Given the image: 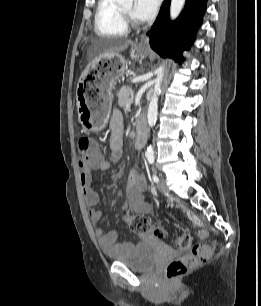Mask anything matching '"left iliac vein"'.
I'll list each match as a JSON object with an SVG mask.
<instances>
[{"instance_id":"4c4485c4","label":"left iliac vein","mask_w":261,"mask_h":306,"mask_svg":"<svg viewBox=\"0 0 261 306\" xmlns=\"http://www.w3.org/2000/svg\"><path fill=\"white\" fill-rule=\"evenodd\" d=\"M158 189H159V191H160L161 193H163V194H166V193L169 192V189H168V187H167V185H166V180H165V178H163V177L160 178V181H159V183H158Z\"/></svg>"}]
</instances>
